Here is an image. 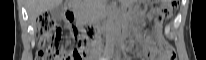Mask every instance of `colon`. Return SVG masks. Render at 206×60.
Listing matches in <instances>:
<instances>
[{
    "label": "colon",
    "mask_w": 206,
    "mask_h": 60,
    "mask_svg": "<svg viewBox=\"0 0 206 60\" xmlns=\"http://www.w3.org/2000/svg\"><path fill=\"white\" fill-rule=\"evenodd\" d=\"M176 6V1L166 0L157 5L165 16ZM37 60H82L85 56L90 38L85 33H78L75 45L65 51L60 47L61 29L47 14H42L37 22ZM158 55L165 60H174L175 53L165 42L160 43Z\"/></svg>",
    "instance_id": "1"
}]
</instances>
